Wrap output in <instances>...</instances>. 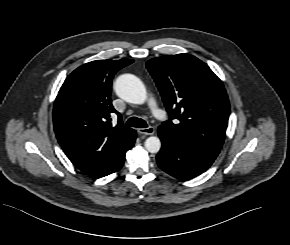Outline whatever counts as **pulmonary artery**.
I'll return each mask as SVG.
<instances>
[{"label": "pulmonary artery", "mask_w": 290, "mask_h": 245, "mask_svg": "<svg viewBox=\"0 0 290 245\" xmlns=\"http://www.w3.org/2000/svg\"><path fill=\"white\" fill-rule=\"evenodd\" d=\"M151 108L157 118L161 119L163 117V112L157 107L154 100L151 101Z\"/></svg>", "instance_id": "1"}]
</instances>
